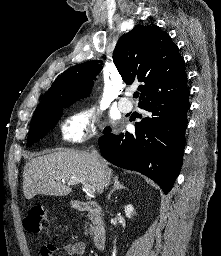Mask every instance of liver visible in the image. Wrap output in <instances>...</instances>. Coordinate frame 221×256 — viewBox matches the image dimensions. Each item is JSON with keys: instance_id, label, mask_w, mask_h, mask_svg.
<instances>
[{"instance_id": "liver-1", "label": "liver", "mask_w": 221, "mask_h": 256, "mask_svg": "<svg viewBox=\"0 0 221 256\" xmlns=\"http://www.w3.org/2000/svg\"><path fill=\"white\" fill-rule=\"evenodd\" d=\"M112 169L101 157L95 158L85 151L66 150L31 159L23 171V193L27 200L38 194L64 196L72 188L66 182L80 179L103 193L104 174Z\"/></svg>"}]
</instances>
